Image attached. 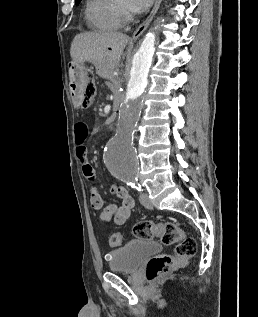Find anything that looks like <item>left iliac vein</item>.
I'll list each match as a JSON object with an SVG mask.
<instances>
[{
	"label": "left iliac vein",
	"mask_w": 258,
	"mask_h": 317,
	"mask_svg": "<svg viewBox=\"0 0 258 317\" xmlns=\"http://www.w3.org/2000/svg\"><path fill=\"white\" fill-rule=\"evenodd\" d=\"M148 194L145 192H140L139 193V201L144 204V207H146L147 209H152L153 208V203L149 200L148 198Z\"/></svg>",
	"instance_id": "left-iliac-vein-1"
}]
</instances>
